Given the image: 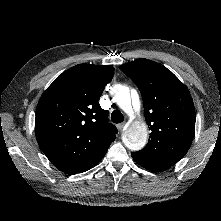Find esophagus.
Instances as JSON below:
<instances>
[{"label": "esophagus", "mask_w": 221, "mask_h": 221, "mask_svg": "<svg viewBox=\"0 0 221 221\" xmlns=\"http://www.w3.org/2000/svg\"><path fill=\"white\" fill-rule=\"evenodd\" d=\"M117 128H118L119 131L122 132L124 130V128H125V124L124 123H120V124L117 125Z\"/></svg>", "instance_id": "obj_1"}]
</instances>
